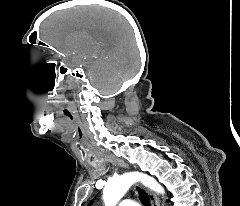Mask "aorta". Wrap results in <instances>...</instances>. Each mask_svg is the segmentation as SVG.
<instances>
[{
  "label": "aorta",
  "instance_id": "obj_1",
  "mask_svg": "<svg viewBox=\"0 0 240 206\" xmlns=\"http://www.w3.org/2000/svg\"><path fill=\"white\" fill-rule=\"evenodd\" d=\"M137 181H141L151 190L164 195V188L153 178L141 173H126L110 179L103 189L105 206H116L128 189Z\"/></svg>",
  "mask_w": 240,
  "mask_h": 206
}]
</instances>
